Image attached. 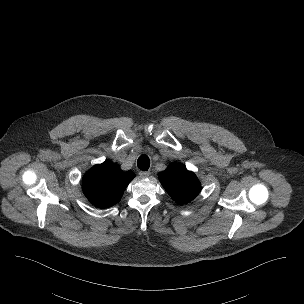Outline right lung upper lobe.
<instances>
[{"label":"right lung upper lobe","instance_id":"1","mask_svg":"<svg viewBox=\"0 0 304 304\" xmlns=\"http://www.w3.org/2000/svg\"><path fill=\"white\" fill-rule=\"evenodd\" d=\"M134 173H123L119 166L106 161L95 165L83 177V192L87 199L102 208L119 202Z\"/></svg>","mask_w":304,"mask_h":304}]
</instances>
